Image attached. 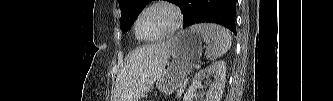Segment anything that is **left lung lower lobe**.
<instances>
[{
    "label": "left lung lower lobe",
    "instance_id": "1",
    "mask_svg": "<svg viewBox=\"0 0 333 101\" xmlns=\"http://www.w3.org/2000/svg\"><path fill=\"white\" fill-rule=\"evenodd\" d=\"M184 28L195 23L212 22L236 32V0H181Z\"/></svg>",
    "mask_w": 333,
    "mask_h": 101
}]
</instances>
